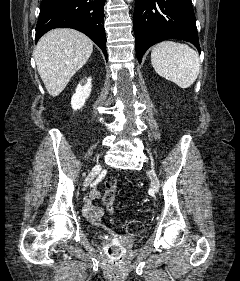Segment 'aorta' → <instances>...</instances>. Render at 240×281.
Returning a JSON list of instances; mask_svg holds the SVG:
<instances>
[{"mask_svg": "<svg viewBox=\"0 0 240 281\" xmlns=\"http://www.w3.org/2000/svg\"><path fill=\"white\" fill-rule=\"evenodd\" d=\"M128 2H131L132 0H127Z\"/></svg>", "mask_w": 240, "mask_h": 281, "instance_id": "762f6f07", "label": "aorta"}]
</instances>
